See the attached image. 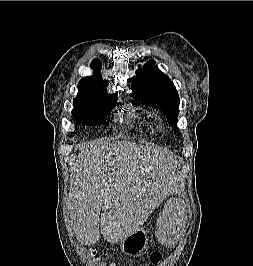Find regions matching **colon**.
<instances>
[{
	"label": "colon",
	"instance_id": "5ec220e1",
	"mask_svg": "<svg viewBox=\"0 0 253 266\" xmlns=\"http://www.w3.org/2000/svg\"><path fill=\"white\" fill-rule=\"evenodd\" d=\"M162 259V255L158 252H154L151 254V261L154 263V264H157L158 262H160ZM104 263L107 265V266H114L113 263H110V262H107V261H104Z\"/></svg>",
	"mask_w": 253,
	"mask_h": 266
}]
</instances>
